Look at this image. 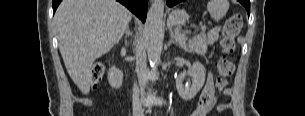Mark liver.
<instances>
[{"mask_svg": "<svg viewBox=\"0 0 305 116\" xmlns=\"http://www.w3.org/2000/svg\"><path fill=\"white\" fill-rule=\"evenodd\" d=\"M132 19L116 0H63L54 16L59 50L68 74L88 94L91 67L119 42Z\"/></svg>", "mask_w": 305, "mask_h": 116, "instance_id": "1", "label": "liver"}]
</instances>
